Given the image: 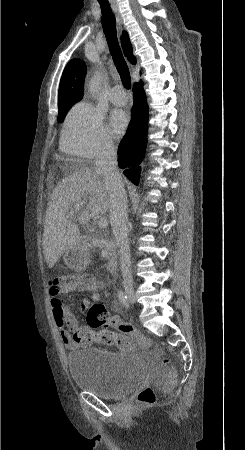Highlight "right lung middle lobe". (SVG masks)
<instances>
[{
	"instance_id": "1",
	"label": "right lung middle lobe",
	"mask_w": 245,
	"mask_h": 450,
	"mask_svg": "<svg viewBox=\"0 0 245 450\" xmlns=\"http://www.w3.org/2000/svg\"><path fill=\"white\" fill-rule=\"evenodd\" d=\"M73 104H74V103H70V104H66V105H63V106H61V107H58V108H59L58 118H59V121H60V122L63 120L65 114L67 113V111L70 109V107H71Z\"/></svg>"
}]
</instances>
